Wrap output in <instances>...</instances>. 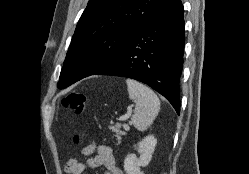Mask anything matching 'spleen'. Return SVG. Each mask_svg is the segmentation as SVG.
<instances>
[{
	"label": "spleen",
	"mask_w": 249,
	"mask_h": 174,
	"mask_svg": "<svg viewBox=\"0 0 249 174\" xmlns=\"http://www.w3.org/2000/svg\"><path fill=\"white\" fill-rule=\"evenodd\" d=\"M129 98L136 102L133 125L140 131L146 130L157 117L160 111V100L157 95L147 86L138 81L126 80Z\"/></svg>",
	"instance_id": "obj_1"
}]
</instances>
